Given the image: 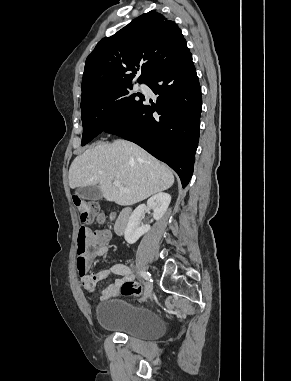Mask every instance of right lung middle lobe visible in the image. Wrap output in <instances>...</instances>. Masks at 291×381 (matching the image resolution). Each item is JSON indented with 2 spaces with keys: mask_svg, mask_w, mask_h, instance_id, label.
<instances>
[{
  "mask_svg": "<svg viewBox=\"0 0 291 381\" xmlns=\"http://www.w3.org/2000/svg\"><path fill=\"white\" fill-rule=\"evenodd\" d=\"M131 89V85L113 88L81 105L82 145L90 142L108 127L128 118L139 108L144 96L139 92L130 95Z\"/></svg>",
  "mask_w": 291,
  "mask_h": 381,
  "instance_id": "dd1d6c3e",
  "label": "right lung middle lobe"
}]
</instances>
